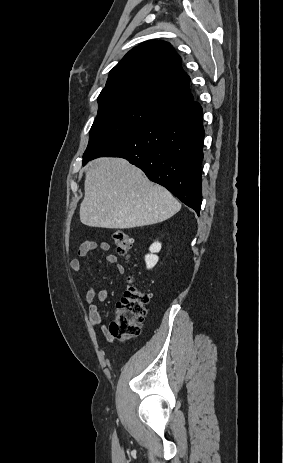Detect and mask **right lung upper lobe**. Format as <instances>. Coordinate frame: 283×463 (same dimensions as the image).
I'll return each mask as SVG.
<instances>
[{
  "label": "right lung upper lobe",
  "mask_w": 283,
  "mask_h": 463,
  "mask_svg": "<svg viewBox=\"0 0 283 463\" xmlns=\"http://www.w3.org/2000/svg\"><path fill=\"white\" fill-rule=\"evenodd\" d=\"M189 81L172 46L151 40L130 50L110 71L100 95L126 94L164 111L193 100Z\"/></svg>",
  "instance_id": "right-lung-upper-lobe-1"
}]
</instances>
